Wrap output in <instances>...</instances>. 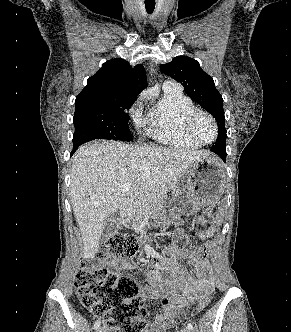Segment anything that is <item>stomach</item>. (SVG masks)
<instances>
[{"label":"stomach","instance_id":"obj_1","mask_svg":"<svg viewBox=\"0 0 291 332\" xmlns=\"http://www.w3.org/2000/svg\"><path fill=\"white\" fill-rule=\"evenodd\" d=\"M224 173L219 162L212 156L195 161L187 171L186 190L174 188L172 199L166 209L154 215L162 222L171 210L195 213L200 207L216 202L223 191Z\"/></svg>","mask_w":291,"mask_h":332}]
</instances>
